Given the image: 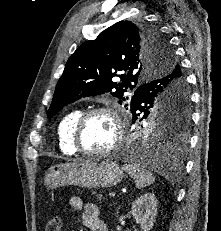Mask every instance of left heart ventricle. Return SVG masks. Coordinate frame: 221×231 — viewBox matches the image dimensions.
<instances>
[{
    "mask_svg": "<svg viewBox=\"0 0 221 231\" xmlns=\"http://www.w3.org/2000/svg\"><path fill=\"white\" fill-rule=\"evenodd\" d=\"M115 130L108 115L96 114L90 117L81 132L82 147L88 151H101L114 141Z\"/></svg>",
    "mask_w": 221,
    "mask_h": 231,
    "instance_id": "b2bd125f",
    "label": "left heart ventricle"
}]
</instances>
